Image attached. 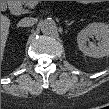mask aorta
I'll use <instances>...</instances> for the list:
<instances>
[{
    "label": "aorta",
    "instance_id": "762f6f07",
    "mask_svg": "<svg viewBox=\"0 0 109 109\" xmlns=\"http://www.w3.org/2000/svg\"><path fill=\"white\" fill-rule=\"evenodd\" d=\"M40 30L43 34L50 35L57 30V26L54 20L45 19L39 24Z\"/></svg>",
    "mask_w": 109,
    "mask_h": 109
}]
</instances>
